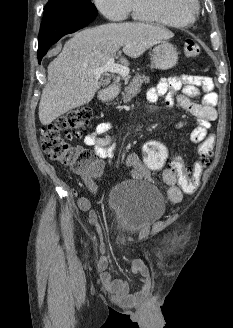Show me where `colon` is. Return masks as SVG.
<instances>
[{
  "mask_svg": "<svg viewBox=\"0 0 233 328\" xmlns=\"http://www.w3.org/2000/svg\"><path fill=\"white\" fill-rule=\"evenodd\" d=\"M187 56L194 57L200 52L195 41L184 46ZM93 117L90 108H78L57 118L41 129L40 145L44 153L52 160L70 166L78 173L89 171L94 164V153L82 147L72 145L69 140L85 132ZM214 136L208 135L197 150V159L191 167L176 157L170 161V168L177 176L178 184L185 193L194 192L199 184L202 172L213 160ZM145 165L153 170L161 168L167 162V149L158 141H148L142 148Z\"/></svg>",
  "mask_w": 233,
  "mask_h": 328,
  "instance_id": "obj_1",
  "label": "colon"
}]
</instances>
